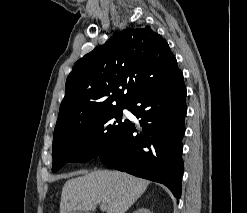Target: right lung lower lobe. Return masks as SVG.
<instances>
[{"label":"right lung lower lobe","mask_w":247,"mask_h":213,"mask_svg":"<svg viewBox=\"0 0 247 213\" xmlns=\"http://www.w3.org/2000/svg\"><path fill=\"white\" fill-rule=\"evenodd\" d=\"M140 127L128 120L112 149L99 154L110 168L166 185L178 199L183 175L186 88L178 67L129 102Z\"/></svg>","instance_id":"obj_1"}]
</instances>
